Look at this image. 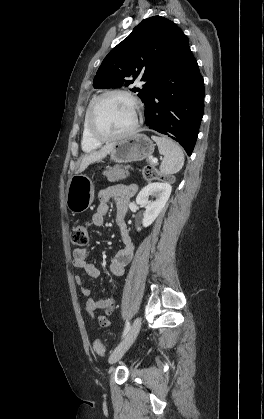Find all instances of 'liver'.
I'll use <instances>...</instances> for the list:
<instances>
[{"mask_svg":"<svg viewBox=\"0 0 264 419\" xmlns=\"http://www.w3.org/2000/svg\"><path fill=\"white\" fill-rule=\"evenodd\" d=\"M113 147H114V144H107L98 151H93L89 154L84 155L82 157L79 169L77 170L76 173L83 172L91 163H94L106 157L108 154H110Z\"/></svg>","mask_w":264,"mask_h":419,"instance_id":"liver-1","label":"liver"}]
</instances>
